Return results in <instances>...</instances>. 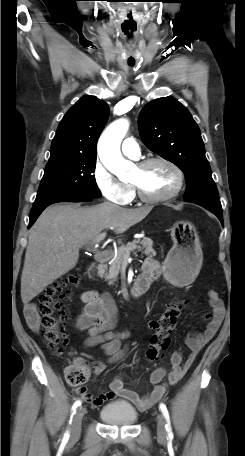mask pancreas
Returning a JSON list of instances; mask_svg holds the SVG:
<instances>
[{
  "mask_svg": "<svg viewBox=\"0 0 245 456\" xmlns=\"http://www.w3.org/2000/svg\"><path fill=\"white\" fill-rule=\"evenodd\" d=\"M137 244L142 245L141 247H138V251H142L145 255L156 256V251L153 249V241L147 237L142 240L136 239L119 247L116 254L114 252H110L108 259L111 263L109 265L108 272L106 271L103 273V277L108 280L109 285H112L114 281L117 280L123 260L130 255L131 251L134 252L133 247L137 246ZM104 270H107V266L104 267Z\"/></svg>",
  "mask_w": 245,
  "mask_h": 456,
  "instance_id": "obj_1",
  "label": "pancreas"
}]
</instances>
